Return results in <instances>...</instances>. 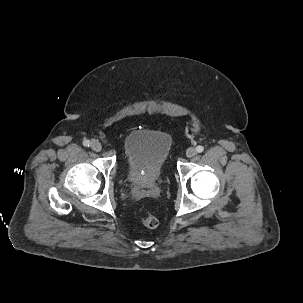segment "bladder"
I'll use <instances>...</instances> for the list:
<instances>
[{"instance_id": "1", "label": "bladder", "mask_w": 303, "mask_h": 303, "mask_svg": "<svg viewBox=\"0 0 303 303\" xmlns=\"http://www.w3.org/2000/svg\"><path fill=\"white\" fill-rule=\"evenodd\" d=\"M172 147L167 132L148 128L134 129L124 141V159L129 180L148 186L161 175Z\"/></svg>"}]
</instances>
